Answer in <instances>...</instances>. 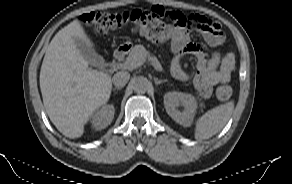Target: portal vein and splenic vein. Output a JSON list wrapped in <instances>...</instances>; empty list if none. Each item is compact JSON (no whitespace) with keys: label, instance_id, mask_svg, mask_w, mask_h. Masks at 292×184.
I'll list each match as a JSON object with an SVG mask.
<instances>
[{"label":"portal vein and splenic vein","instance_id":"18ae733b","mask_svg":"<svg viewBox=\"0 0 292 184\" xmlns=\"http://www.w3.org/2000/svg\"><path fill=\"white\" fill-rule=\"evenodd\" d=\"M148 61L151 62V64L154 66V68L157 70V71H162L163 68L160 64V62L157 60V58L155 57H149L148 58ZM145 62V59L143 61H140L138 63H134V62H130V61H125L123 64H116V65H113V67H131V68H137L139 66H141L143 63Z\"/></svg>","mask_w":292,"mask_h":184}]
</instances>
